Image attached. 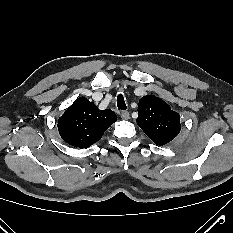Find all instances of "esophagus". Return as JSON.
Segmentation results:
<instances>
[{
    "mask_svg": "<svg viewBox=\"0 0 233 233\" xmlns=\"http://www.w3.org/2000/svg\"><path fill=\"white\" fill-rule=\"evenodd\" d=\"M120 116H121V118L124 119V120H127V119H129V117H130L128 111H122V112L120 113Z\"/></svg>",
    "mask_w": 233,
    "mask_h": 233,
    "instance_id": "1",
    "label": "esophagus"
}]
</instances>
